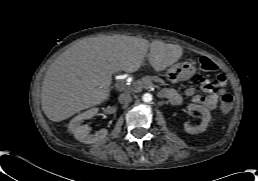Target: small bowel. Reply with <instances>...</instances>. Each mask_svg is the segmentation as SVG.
<instances>
[{"mask_svg": "<svg viewBox=\"0 0 258 181\" xmlns=\"http://www.w3.org/2000/svg\"><path fill=\"white\" fill-rule=\"evenodd\" d=\"M200 90L204 93V96L202 98L206 102L207 105L212 107L217 103L216 95H214L210 92V89L206 84H204V83L201 84L200 85ZM194 94H195V90H190L189 91V95L192 96Z\"/></svg>", "mask_w": 258, "mask_h": 181, "instance_id": "obj_1", "label": "small bowel"}]
</instances>
